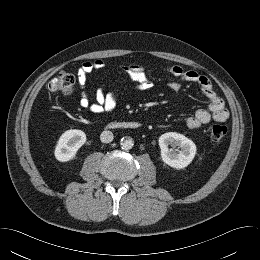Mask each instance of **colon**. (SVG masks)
<instances>
[{"label":"colon","mask_w":260,"mask_h":260,"mask_svg":"<svg viewBox=\"0 0 260 260\" xmlns=\"http://www.w3.org/2000/svg\"><path fill=\"white\" fill-rule=\"evenodd\" d=\"M75 77L68 71H60L48 83V90L53 93L71 94L74 90ZM227 134V127L223 124H214L210 128V137L213 141L222 140Z\"/></svg>","instance_id":"colon-1"}]
</instances>
